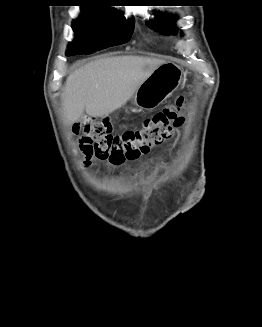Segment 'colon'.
Instances as JSON below:
<instances>
[{
	"label": "colon",
	"mask_w": 262,
	"mask_h": 327,
	"mask_svg": "<svg viewBox=\"0 0 262 327\" xmlns=\"http://www.w3.org/2000/svg\"><path fill=\"white\" fill-rule=\"evenodd\" d=\"M188 110L185 95L143 121L142 127L120 134L112 132L109 119L89 117L77 125L83 131L79 148L87 157H96L120 165L137 159L172 137Z\"/></svg>",
	"instance_id": "obj_1"
}]
</instances>
